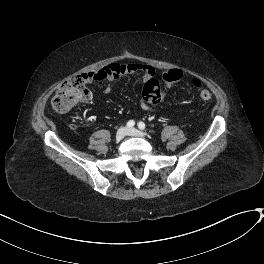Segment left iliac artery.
Returning <instances> with one entry per match:
<instances>
[{"instance_id":"44dca946","label":"left iliac artery","mask_w":264,"mask_h":264,"mask_svg":"<svg viewBox=\"0 0 264 264\" xmlns=\"http://www.w3.org/2000/svg\"><path fill=\"white\" fill-rule=\"evenodd\" d=\"M138 128L141 129V130H144L146 127H145V124L142 121H140L138 123Z\"/></svg>"}]
</instances>
